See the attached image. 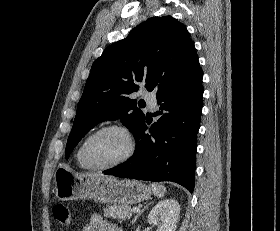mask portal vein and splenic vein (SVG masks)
Listing matches in <instances>:
<instances>
[{"instance_id":"obj_1","label":"portal vein and splenic vein","mask_w":280,"mask_h":231,"mask_svg":"<svg viewBox=\"0 0 280 231\" xmlns=\"http://www.w3.org/2000/svg\"><path fill=\"white\" fill-rule=\"evenodd\" d=\"M132 211H138V209H136V207H134V209H132Z\"/></svg>"}]
</instances>
